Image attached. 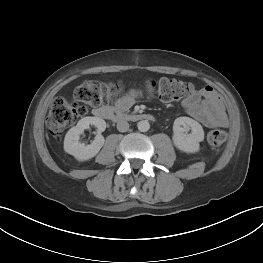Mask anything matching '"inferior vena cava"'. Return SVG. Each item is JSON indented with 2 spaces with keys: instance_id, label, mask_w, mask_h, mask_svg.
<instances>
[{
  "instance_id": "602c4592",
  "label": "inferior vena cava",
  "mask_w": 263,
  "mask_h": 263,
  "mask_svg": "<svg viewBox=\"0 0 263 263\" xmlns=\"http://www.w3.org/2000/svg\"><path fill=\"white\" fill-rule=\"evenodd\" d=\"M117 129L120 132H126L129 129V124L125 120H121L117 123Z\"/></svg>"
}]
</instances>
